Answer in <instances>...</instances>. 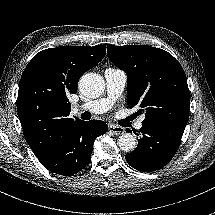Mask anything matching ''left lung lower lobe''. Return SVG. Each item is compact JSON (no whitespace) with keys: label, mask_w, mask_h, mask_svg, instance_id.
Returning a JSON list of instances; mask_svg holds the SVG:
<instances>
[{"label":"left lung lower lobe","mask_w":215,"mask_h":215,"mask_svg":"<svg viewBox=\"0 0 215 215\" xmlns=\"http://www.w3.org/2000/svg\"><path fill=\"white\" fill-rule=\"evenodd\" d=\"M185 126L183 123H142V138L138 139L137 148L126 155V161L141 172L163 168L175 155Z\"/></svg>","instance_id":"left-lung-lower-lobe-1"}]
</instances>
